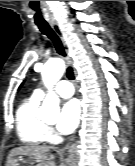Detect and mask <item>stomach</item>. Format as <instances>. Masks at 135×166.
Here are the masks:
<instances>
[{
	"label": "stomach",
	"mask_w": 135,
	"mask_h": 166,
	"mask_svg": "<svg viewBox=\"0 0 135 166\" xmlns=\"http://www.w3.org/2000/svg\"><path fill=\"white\" fill-rule=\"evenodd\" d=\"M18 158H13L6 166H18ZM36 166H44L42 164H38Z\"/></svg>",
	"instance_id": "0dacf381"
}]
</instances>
